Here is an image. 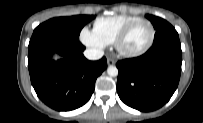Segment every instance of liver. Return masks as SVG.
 Returning <instances> with one entry per match:
<instances>
[{
	"label": "liver",
	"instance_id": "1",
	"mask_svg": "<svg viewBox=\"0 0 203 123\" xmlns=\"http://www.w3.org/2000/svg\"><path fill=\"white\" fill-rule=\"evenodd\" d=\"M59 58H60V55L57 54V53H54V54L52 55V59L57 60V59H59Z\"/></svg>",
	"mask_w": 203,
	"mask_h": 123
}]
</instances>
